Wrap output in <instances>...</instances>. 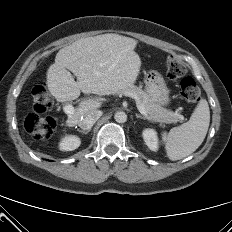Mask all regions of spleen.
I'll use <instances>...</instances> for the list:
<instances>
[{
	"mask_svg": "<svg viewBox=\"0 0 232 232\" xmlns=\"http://www.w3.org/2000/svg\"><path fill=\"white\" fill-rule=\"evenodd\" d=\"M209 124V105L201 99L188 122L162 133L168 158L176 161L192 154L204 141Z\"/></svg>",
	"mask_w": 232,
	"mask_h": 232,
	"instance_id": "3e777b00",
	"label": "spleen"
}]
</instances>
